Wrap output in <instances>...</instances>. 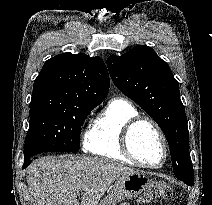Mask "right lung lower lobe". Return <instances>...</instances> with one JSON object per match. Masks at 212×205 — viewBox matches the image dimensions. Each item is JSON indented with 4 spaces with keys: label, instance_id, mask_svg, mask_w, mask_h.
<instances>
[{
    "label": "right lung lower lobe",
    "instance_id": "98d812e1",
    "mask_svg": "<svg viewBox=\"0 0 212 205\" xmlns=\"http://www.w3.org/2000/svg\"><path fill=\"white\" fill-rule=\"evenodd\" d=\"M36 157L37 156H33V157H30V158L24 159V164H23L22 168H26L30 164L31 160L35 159Z\"/></svg>",
    "mask_w": 212,
    "mask_h": 205
}]
</instances>
